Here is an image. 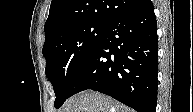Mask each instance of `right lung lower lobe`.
I'll return each mask as SVG.
<instances>
[{"instance_id":"right-lung-lower-lobe-1","label":"right lung lower lobe","mask_w":193,"mask_h":112,"mask_svg":"<svg viewBox=\"0 0 193 112\" xmlns=\"http://www.w3.org/2000/svg\"><path fill=\"white\" fill-rule=\"evenodd\" d=\"M158 37L151 0L110 23L81 69L70 93L92 89L137 112H155Z\"/></svg>"}]
</instances>
